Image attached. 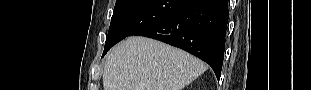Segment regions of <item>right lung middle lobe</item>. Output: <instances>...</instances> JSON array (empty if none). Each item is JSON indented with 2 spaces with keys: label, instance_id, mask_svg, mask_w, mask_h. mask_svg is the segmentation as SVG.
<instances>
[{
  "label": "right lung middle lobe",
  "instance_id": "obj_1",
  "mask_svg": "<svg viewBox=\"0 0 311 90\" xmlns=\"http://www.w3.org/2000/svg\"><path fill=\"white\" fill-rule=\"evenodd\" d=\"M185 0H117L109 32L105 42V53L127 36L154 25L172 13Z\"/></svg>",
  "mask_w": 311,
  "mask_h": 90
}]
</instances>
